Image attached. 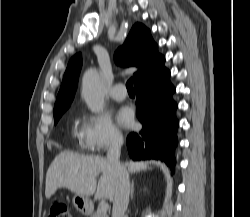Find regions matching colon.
Segmentation results:
<instances>
[{
	"mask_svg": "<svg viewBox=\"0 0 250 217\" xmlns=\"http://www.w3.org/2000/svg\"><path fill=\"white\" fill-rule=\"evenodd\" d=\"M48 217H72V215L65 203L55 202L50 207Z\"/></svg>",
	"mask_w": 250,
	"mask_h": 217,
	"instance_id": "colon-1",
	"label": "colon"
}]
</instances>
